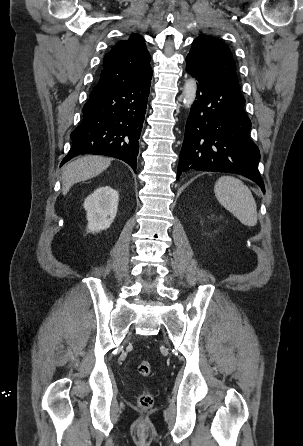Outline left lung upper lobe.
<instances>
[{
    "mask_svg": "<svg viewBox=\"0 0 303 446\" xmlns=\"http://www.w3.org/2000/svg\"><path fill=\"white\" fill-rule=\"evenodd\" d=\"M186 60L240 90L232 53L227 45L208 35L197 37Z\"/></svg>",
    "mask_w": 303,
    "mask_h": 446,
    "instance_id": "5c2ea615",
    "label": "left lung upper lobe"
}]
</instances>
